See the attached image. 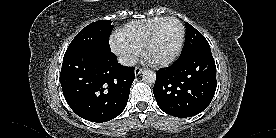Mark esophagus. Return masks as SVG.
Segmentation results:
<instances>
[{
  "mask_svg": "<svg viewBox=\"0 0 276 138\" xmlns=\"http://www.w3.org/2000/svg\"><path fill=\"white\" fill-rule=\"evenodd\" d=\"M134 72H135V75H139V74H141V72H142V68H140V67H135Z\"/></svg>",
  "mask_w": 276,
  "mask_h": 138,
  "instance_id": "esophagus-1",
  "label": "esophagus"
}]
</instances>
